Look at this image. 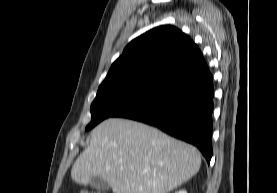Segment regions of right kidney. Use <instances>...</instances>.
<instances>
[{
	"label": "right kidney",
	"instance_id": "obj_1",
	"mask_svg": "<svg viewBox=\"0 0 277 193\" xmlns=\"http://www.w3.org/2000/svg\"><path fill=\"white\" fill-rule=\"evenodd\" d=\"M175 193H187L185 190H182V191H178V192H175Z\"/></svg>",
	"mask_w": 277,
	"mask_h": 193
}]
</instances>
